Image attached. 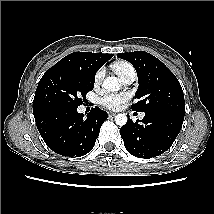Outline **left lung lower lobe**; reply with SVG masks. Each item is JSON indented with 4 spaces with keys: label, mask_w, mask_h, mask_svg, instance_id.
Wrapping results in <instances>:
<instances>
[{
    "label": "left lung lower lobe",
    "mask_w": 214,
    "mask_h": 214,
    "mask_svg": "<svg viewBox=\"0 0 214 214\" xmlns=\"http://www.w3.org/2000/svg\"><path fill=\"white\" fill-rule=\"evenodd\" d=\"M184 113L154 110L136 123L129 120L120 129L127 151L133 156L149 159L167 151L179 134Z\"/></svg>",
    "instance_id": "obj_1"
}]
</instances>
